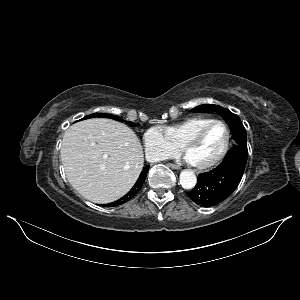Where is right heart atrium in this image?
<instances>
[{
  "mask_svg": "<svg viewBox=\"0 0 300 300\" xmlns=\"http://www.w3.org/2000/svg\"><path fill=\"white\" fill-rule=\"evenodd\" d=\"M143 144L146 157L151 162L174 157L179 152V147L170 141L159 126L151 127L144 133Z\"/></svg>",
  "mask_w": 300,
  "mask_h": 300,
  "instance_id": "right-heart-atrium-1",
  "label": "right heart atrium"
}]
</instances>
